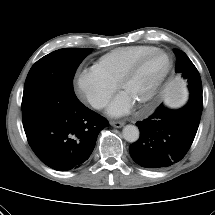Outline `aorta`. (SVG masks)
Returning a JSON list of instances; mask_svg holds the SVG:
<instances>
[{
	"instance_id": "obj_1",
	"label": "aorta",
	"mask_w": 215,
	"mask_h": 215,
	"mask_svg": "<svg viewBox=\"0 0 215 215\" xmlns=\"http://www.w3.org/2000/svg\"><path fill=\"white\" fill-rule=\"evenodd\" d=\"M122 133L124 139L130 143L136 142L140 135L138 127L134 125H126Z\"/></svg>"
}]
</instances>
